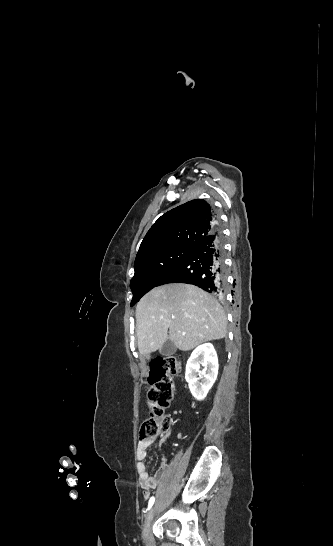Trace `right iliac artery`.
Returning <instances> with one entry per match:
<instances>
[{"label":"right iliac artery","mask_w":333,"mask_h":546,"mask_svg":"<svg viewBox=\"0 0 333 546\" xmlns=\"http://www.w3.org/2000/svg\"><path fill=\"white\" fill-rule=\"evenodd\" d=\"M154 501H155V497H151L150 500H149V503H148V510L152 507V505L154 504Z\"/></svg>","instance_id":"obj_1"}]
</instances>
